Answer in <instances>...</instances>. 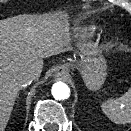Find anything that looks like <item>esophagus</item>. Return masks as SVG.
Listing matches in <instances>:
<instances>
[{"label":"esophagus","instance_id":"esophagus-1","mask_svg":"<svg viewBox=\"0 0 131 131\" xmlns=\"http://www.w3.org/2000/svg\"><path fill=\"white\" fill-rule=\"evenodd\" d=\"M70 66L68 64H63L59 66L55 71L56 77H65L69 73Z\"/></svg>","mask_w":131,"mask_h":131}]
</instances>
